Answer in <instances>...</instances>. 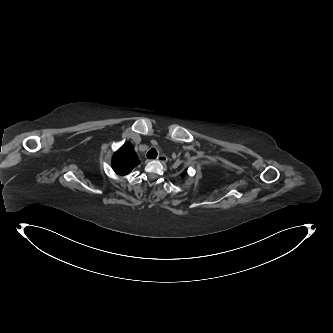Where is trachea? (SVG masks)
Segmentation results:
<instances>
[{
    "label": "trachea",
    "instance_id": "1",
    "mask_svg": "<svg viewBox=\"0 0 333 333\" xmlns=\"http://www.w3.org/2000/svg\"><path fill=\"white\" fill-rule=\"evenodd\" d=\"M158 153L155 148H152L147 153V158L149 159H155L157 157Z\"/></svg>",
    "mask_w": 333,
    "mask_h": 333
}]
</instances>
